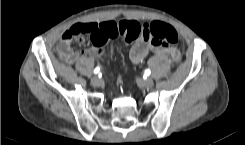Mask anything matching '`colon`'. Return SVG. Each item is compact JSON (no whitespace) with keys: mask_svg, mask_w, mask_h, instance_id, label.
<instances>
[{"mask_svg":"<svg viewBox=\"0 0 245 145\" xmlns=\"http://www.w3.org/2000/svg\"><path fill=\"white\" fill-rule=\"evenodd\" d=\"M142 32L143 37L147 38L150 42L163 45V46H173L179 40V35L177 30L171 25L154 21L145 25L143 28L137 22L131 21H122L119 23L118 28L112 30L109 33L110 38H116L118 36L121 37L122 42L125 45L131 44ZM96 35V31L94 30L92 25L77 23L72 25L66 35L65 38L68 40L72 39H84L88 36L94 38ZM63 52L66 56L69 55L68 49H63ZM180 56L177 52L173 54V62L175 64L179 63Z\"/></svg>","mask_w":245,"mask_h":145,"instance_id":"1","label":"colon"}]
</instances>
